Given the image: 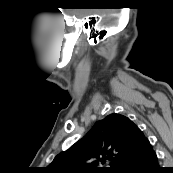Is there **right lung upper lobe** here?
Segmentation results:
<instances>
[{
	"label": "right lung upper lobe",
	"instance_id": "obj_1",
	"mask_svg": "<svg viewBox=\"0 0 173 173\" xmlns=\"http://www.w3.org/2000/svg\"><path fill=\"white\" fill-rule=\"evenodd\" d=\"M149 140L129 118L110 114L68 150L58 154L46 173H118L130 158L150 147ZM111 160V167H103Z\"/></svg>",
	"mask_w": 173,
	"mask_h": 173
}]
</instances>
